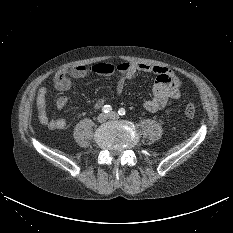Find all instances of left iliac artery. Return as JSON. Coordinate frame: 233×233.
<instances>
[{"label": "left iliac artery", "mask_w": 233, "mask_h": 233, "mask_svg": "<svg viewBox=\"0 0 233 233\" xmlns=\"http://www.w3.org/2000/svg\"><path fill=\"white\" fill-rule=\"evenodd\" d=\"M118 113H119V115L123 116V115L126 114V110H125L124 108H120V109L118 110Z\"/></svg>", "instance_id": "left-iliac-artery-1"}]
</instances>
